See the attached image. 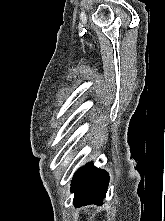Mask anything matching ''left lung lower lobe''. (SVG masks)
Masks as SVG:
<instances>
[{"label": "left lung lower lobe", "mask_w": 165, "mask_h": 221, "mask_svg": "<svg viewBox=\"0 0 165 221\" xmlns=\"http://www.w3.org/2000/svg\"><path fill=\"white\" fill-rule=\"evenodd\" d=\"M108 183V173L94 167L92 163L80 168L71 182V192L75 193L74 205L81 207L88 204H102Z\"/></svg>", "instance_id": "obj_1"}]
</instances>
